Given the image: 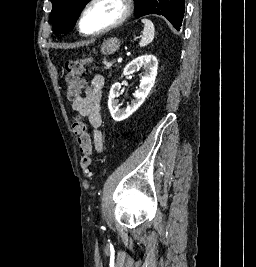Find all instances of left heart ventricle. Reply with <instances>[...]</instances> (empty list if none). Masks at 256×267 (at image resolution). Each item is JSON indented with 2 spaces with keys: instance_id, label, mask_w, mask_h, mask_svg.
Wrapping results in <instances>:
<instances>
[{
  "instance_id": "obj_1",
  "label": "left heart ventricle",
  "mask_w": 256,
  "mask_h": 267,
  "mask_svg": "<svg viewBox=\"0 0 256 267\" xmlns=\"http://www.w3.org/2000/svg\"><path fill=\"white\" fill-rule=\"evenodd\" d=\"M120 15V9L113 3L96 4L85 13L82 28L87 33L99 32L116 21Z\"/></svg>"
}]
</instances>
